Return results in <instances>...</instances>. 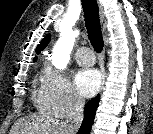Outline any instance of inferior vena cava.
Instances as JSON below:
<instances>
[{"instance_id":"602c4592","label":"inferior vena cava","mask_w":153,"mask_h":134,"mask_svg":"<svg viewBox=\"0 0 153 134\" xmlns=\"http://www.w3.org/2000/svg\"><path fill=\"white\" fill-rule=\"evenodd\" d=\"M84 100L79 97L73 99L68 114L62 124L64 134H76L83 120Z\"/></svg>"}]
</instances>
